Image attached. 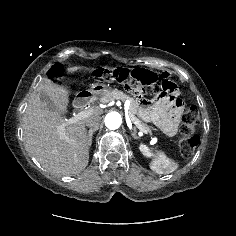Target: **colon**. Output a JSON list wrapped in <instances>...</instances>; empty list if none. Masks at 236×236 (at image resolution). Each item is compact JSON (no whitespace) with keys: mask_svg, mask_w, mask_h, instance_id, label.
Instances as JSON below:
<instances>
[{"mask_svg":"<svg viewBox=\"0 0 236 236\" xmlns=\"http://www.w3.org/2000/svg\"><path fill=\"white\" fill-rule=\"evenodd\" d=\"M62 74L63 67L60 64H55L50 69L49 77L55 80L60 78ZM94 75L106 83L117 82L136 96L166 94L175 98V87L172 83L164 82L146 71L129 70L124 67H104L97 69ZM199 123L198 110L195 107L188 108L183 115L178 141L179 150L183 157L192 156L200 142L199 136L194 134Z\"/></svg>","mask_w":236,"mask_h":236,"instance_id":"1","label":"colon"}]
</instances>
